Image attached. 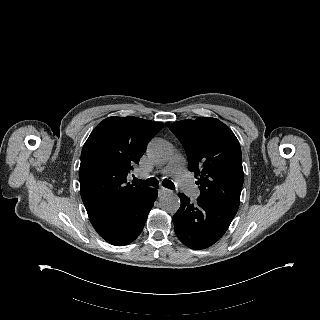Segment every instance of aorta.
<instances>
[{
    "instance_id": "obj_1",
    "label": "aorta",
    "mask_w": 320,
    "mask_h": 320,
    "mask_svg": "<svg viewBox=\"0 0 320 320\" xmlns=\"http://www.w3.org/2000/svg\"><path fill=\"white\" fill-rule=\"evenodd\" d=\"M171 145L164 140H153L147 148L149 159L157 164L166 163L172 156ZM160 207L168 213H176L180 208V198L174 193H167L160 198Z\"/></svg>"
}]
</instances>
